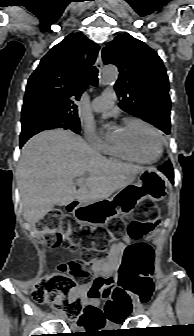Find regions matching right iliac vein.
I'll list each match as a JSON object with an SVG mask.
<instances>
[{
  "label": "right iliac vein",
  "mask_w": 194,
  "mask_h": 336,
  "mask_svg": "<svg viewBox=\"0 0 194 336\" xmlns=\"http://www.w3.org/2000/svg\"><path fill=\"white\" fill-rule=\"evenodd\" d=\"M56 317L60 318L61 317V313H57Z\"/></svg>",
  "instance_id": "right-iliac-vein-1"
}]
</instances>
